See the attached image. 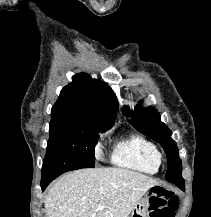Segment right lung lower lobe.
I'll return each instance as SVG.
<instances>
[{"mask_svg": "<svg viewBox=\"0 0 211 217\" xmlns=\"http://www.w3.org/2000/svg\"><path fill=\"white\" fill-rule=\"evenodd\" d=\"M63 173H65V172L53 174V175H50L48 177L42 178V180H41V189H42V191L45 190V188L50 184V182H52L55 178H57L58 176H60Z\"/></svg>", "mask_w": 211, "mask_h": 217, "instance_id": "obj_1", "label": "right lung lower lobe"}]
</instances>
